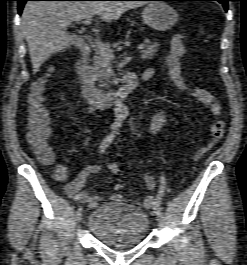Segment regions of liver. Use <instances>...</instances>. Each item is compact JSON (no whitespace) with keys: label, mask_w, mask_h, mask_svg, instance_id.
I'll use <instances>...</instances> for the list:
<instances>
[{"label":"liver","mask_w":247,"mask_h":265,"mask_svg":"<svg viewBox=\"0 0 247 265\" xmlns=\"http://www.w3.org/2000/svg\"><path fill=\"white\" fill-rule=\"evenodd\" d=\"M143 4L140 1H28L23 9L21 29L33 72L36 73L49 56L70 46L67 27L71 22L94 15L111 22Z\"/></svg>","instance_id":"obj_1"}]
</instances>
